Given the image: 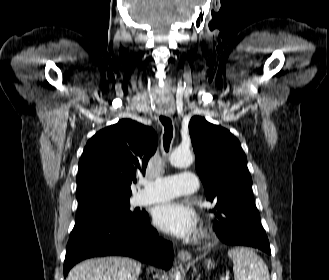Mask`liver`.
Instances as JSON below:
<instances>
[{
    "mask_svg": "<svg viewBox=\"0 0 329 280\" xmlns=\"http://www.w3.org/2000/svg\"><path fill=\"white\" fill-rule=\"evenodd\" d=\"M141 264L127 257L89 259L76 265L66 280H137Z\"/></svg>",
    "mask_w": 329,
    "mask_h": 280,
    "instance_id": "6515ba94",
    "label": "liver"
}]
</instances>
